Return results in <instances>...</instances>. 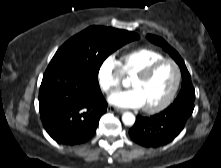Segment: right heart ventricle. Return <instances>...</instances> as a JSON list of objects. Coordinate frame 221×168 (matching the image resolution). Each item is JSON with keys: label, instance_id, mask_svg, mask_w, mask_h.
<instances>
[{"label": "right heart ventricle", "instance_id": "1", "mask_svg": "<svg viewBox=\"0 0 221 168\" xmlns=\"http://www.w3.org/2000/svg\"><path fill=\"white\" fill-rule=\"evenodd\" d=\"M163 58L164 55L156 50L139 48L125 53L119 63L124 75L134 77L151 63Z\"/></svg>", "mask_w": 221, "mask_h": 168}]
</instances>
